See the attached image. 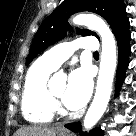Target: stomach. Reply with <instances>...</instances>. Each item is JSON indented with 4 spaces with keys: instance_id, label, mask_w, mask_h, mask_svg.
Returning a JSON list of instances; mask_svg holds the SVG:
<instances>
[{
    "instance_id": "1",
    "label": "stomach",
    "mask_w": 136,
    "mask_h": 136,
    "mask_svg": "<svg viewBox=\"0 0 136 136\" xmlns=\"http://www.w3.org/2000/svg\"><path fill=\"white\" fill-rule=\"evenodd\" d=\"M57 136H70V135H68L67 133H64V132L60 131V132L57 134Z\"/></svg>"
}]
</instances>
